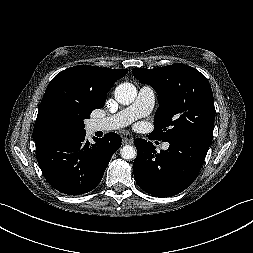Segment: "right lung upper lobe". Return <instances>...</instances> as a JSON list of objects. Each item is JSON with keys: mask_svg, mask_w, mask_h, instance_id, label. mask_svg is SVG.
<instances>
[{"mask_svg": "<svg viewBox=\"0 0 253 253\" xmlns=\"http://www.w3.org/2000/svg\"><path fill=\"white\" fill-rule=\"evenodd\" d=\"M128 72L127 69H109L90 65H78L58 73L49 83L38 109L34 127V140L44 135L39 129V118L45 100L53 94L68 97L86 96L97 103L105 104L106 95L113 84Z\"/></svg>", "mask_w": 253, "mask_h": 253, "instance_id": "1", "label": "right lung upper lobe"}]
</instances>
